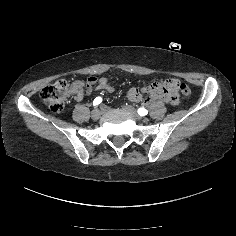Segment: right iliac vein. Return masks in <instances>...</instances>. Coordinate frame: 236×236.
Returning a JSON list of instances; mask_svg holds the SVG:
<instances>
[{"mask_svg": "<svg viewBox=\"0 0 236 236\" xmlns=\"http://www.w3.org/2000/svg\"><path fill=\"white\" fill-rule=\"evenodd\" d=\"M100 116H101V111H100V110H94V111L91 113V118H92L93 120H97Z\"/></svg>", "mask_w": 236, "mask_h": 236, "instance_id": "63e3f726", "label": "right iliac vein"}]
</instances>
